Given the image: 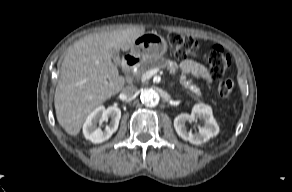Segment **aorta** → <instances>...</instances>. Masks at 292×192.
<instances>
[{
    "label": "aorta",
    "mask_w": 292,
    "mask_h": 192,
    "mask_svg": "<svg viewBox=\"0 0 292 192\" xmlns=\"http://www.w3.org/2000/svg\"><path fill=\"white\" fill-rule=\"evenodd\" d=\"M140 99L148 107H154L159 103V95L153 89L144 90L141 93Z\"/></svg>",
    "instance_id": "obj_1"
}]
</instances>
